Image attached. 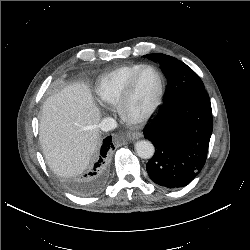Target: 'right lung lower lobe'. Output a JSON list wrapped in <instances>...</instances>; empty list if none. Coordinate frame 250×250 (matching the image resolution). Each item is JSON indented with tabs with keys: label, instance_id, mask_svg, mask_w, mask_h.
<instances>
[{
	"label": "right lung lower lobe",
	"instance_id": "98d812e1",
	"mask_svg": "<svg viewBox=\"0 0 250 250\" xmlns=\"http://www.w3.org/2000/svg\"><path fill=\"white\" fill-rule=\"evenodd\" d=\"M112 137L108 136L103 140L100 156L94 164L91 172L85 175L86 178L79 186V190L83 195H91L98 192L105 184L108 175V154L114 148Z\"/></svg>",
	"mask_w": 250,
	"mask_h": 250
}]
</instances>
